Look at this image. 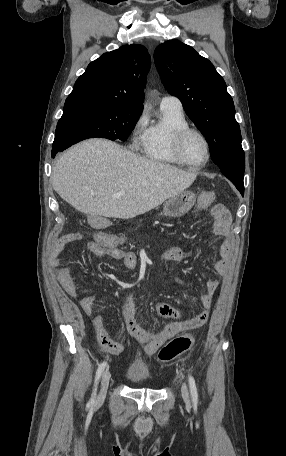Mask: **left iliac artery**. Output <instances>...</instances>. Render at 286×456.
I'll return each mask as SVG.
<instances>
[{
  "instance_id": "left-iliac-artery-1",
  "label": "left iliac artery",
  "mask_w": 286,
  "mask_h": 456,
  "mask_svg": "<svg viewBox=\"0 0 286 456\" xmlns=\"http://www.w3.org/2000/svg\"><path fill=\"white\" fill-rule=\"evenodd\" d=\"M188 381H189V387H190L192 401L196 405L198 403V392H197V387H196V384H195V380H194V378L191 375H189Z\"/></svg>"
}]
</instances>
